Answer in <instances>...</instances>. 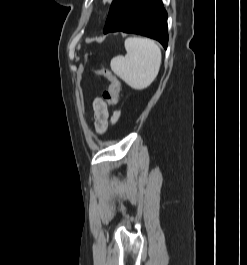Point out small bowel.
<instances>
[{
  "label": "small bowel",
  "mask_w": 247,
  "mask_h": 265,
  "mask_svg": "<svg viewBox=\"0 0 247 265\" xmlns=\"http://www.w3.org/2000/svg\"><path fill=\"white\" fill-rule=\"evenodd\" d=\"M94 125L98 134H103L109 125V112L107 103L102 98H95L93 101ZM120 117V112L116 111L110 118L111 123H116Z\"/></svg>",
  "instance_id": "1"
}]
</instances>
